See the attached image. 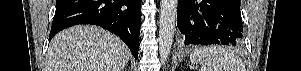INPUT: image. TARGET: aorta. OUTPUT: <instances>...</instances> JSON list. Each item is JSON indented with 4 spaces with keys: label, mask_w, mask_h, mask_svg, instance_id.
Masks as SVG:
<instances>
[{
    "label": "aorta",
    "mask_w": 301,
    "mask_h": 71,
    "mask_svg": "<svg viewBox=\"0 0 301 71\" xmlns=\"http://www.w3.org/2000/svg\"><path fill=\"white\" fill-rule=\"evenodd\" d=\"M177 12V0H161L159 18V54L162 64H165L170 54Z\"/></svg>",
    "instance_id": "aorta-1"
}]
</instances>
